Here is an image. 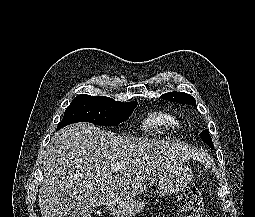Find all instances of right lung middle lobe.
<instances>
[{"label": "right lung middle lobe", "instance_id": "dd1d6c3e", "mask_svg": "<svg viewBox=\"0 0 255 217\" xmlns=\"http://www.w3.org/2000/svg\"><path fill=\"white\" fill-rule=\"evenodd\" d=\"M138 102H119L106 96L78 95L66 108L57 130L76 122L114 126L124 122Z\"/></svg>", "mask_w": 255, "mask_h": 217}]
</instances>
